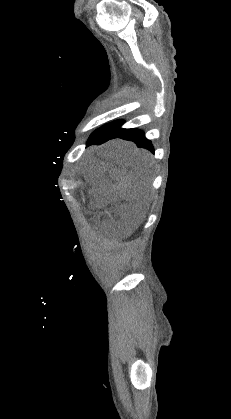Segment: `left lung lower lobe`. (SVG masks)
Masks as SVG:
<instances>
[{"mask_svg": "<svg viewBox=\"0 0 231 419\" xmlns=\"http://www.w3.org/2000/svg\"><path fill=\"white\" fill-rule=\"evenodd\" d=\"M123 121H115L102 126L94 131L89 138L87 145L103 144L111 139L120 138L134 142L138 147L145 148L154 153V147L150 140L146 139L144 132L137 129L121 128Z\"/></svg>", "mask_w": 231, "mask_h": 419, "instance_id": "1", "label": "left lung lower lobe"}]
</instances>
